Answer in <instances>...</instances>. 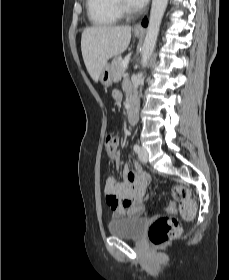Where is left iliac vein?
Returning <instances> with one entry per match:
<instances>
[{"label":"left iliac vein","instance_id":"obj_1","mask_svg":"<svg viewBox=\"0 0 229 280\" xmlns=\"http://www.w3.org/2000/svg\"><path fill=\"white\" fill-rule=\"evenodd\" d=\"M138 157H139L140 161H142L144 163H147V161H148V152H147L146 148H144V147L140 148V151L138 153Z\"/></svg>","mask_w":229,"mask_h":280}]
</instances>
